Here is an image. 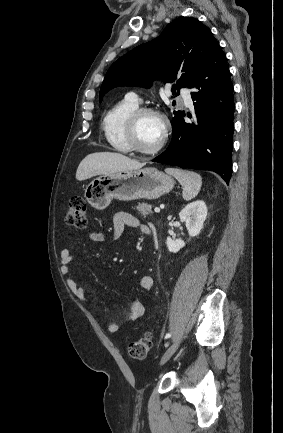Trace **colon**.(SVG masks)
I'll use <instances>...</instances> for the list:
<instances>
[{
  "label": "colon",
  "mask_w": 283,
  "mask_h": 433,
  "mask_svg": "<svg viewBox=\"0 0 283 433\" xmlns=\"http://www.w3.org/2000/svg\"><path fill=\"white\" fill-rule=\"evenodd\" d=\"M87 222V207L84 198L81 196L72 197L65 214V223L77 230H84ZM151 344L152 335L150 332H146L142 337L129 344L128 354L134 359H143L148 354Z\"/></svg>",
  "instance_id": "5ec220e1"
}]
</instances>
